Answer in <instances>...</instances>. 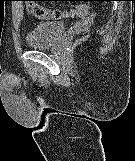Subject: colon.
I'll list each match as a JSON object with an SVG mask.
<instances>
[{
	"mask_svg": "<svg viewBox=\"0 0 135 161\" xmlns=\"http://www.w3.org/2000/svg\"><path fill=\"white\" fill-rule=\"evenodd\" d=\"M30 13L40 19H61L74 16H84L89 13L85 5H77L69 10L49 9L37 4L34 1L26 0Z\"/></svg>",
	"mask_w": 135,
	"mask_h": 161,
	"instance_id": "1",
	"label": "colon"
}]
</instances>
